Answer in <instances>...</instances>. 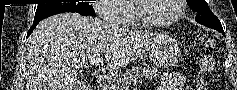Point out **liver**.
<instances>
[{
    "label": "liver",
    "mask_w": 237,
    "mask_h": 90,
    "mask_svg": "<svg viewBox=\"0 0 237 90\" xmlns=\"http://www.w3.org/2000/svg\"><path fill=\"white\" fill-rule=\"evenodd\" d=\"M162 36L119 28L80 14H57L39 22L26 42L22 68L26 90H82L77 72L98 60L102 72H115L158 44Z\"/></svg>",
    "instance_id": "1"
}]
</instances>
